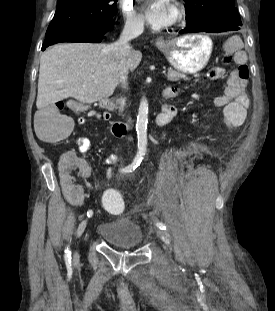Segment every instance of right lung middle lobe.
Returning a JSON list of instances; mask_svg holds the SVG:
<instances>
[{"label": "right lung middle lobe", "mask_w": 275, "mask_h": 311, "mask_svg": "<svg viewBox=\"0 0 275 311\" xmlns=\"http://www.w3.org/2000/svg\"><path fill=\"white\" fill-rule=\"evenodd\" d=\"M116 3L117 0H58L45 38L76 27L107 23L116 16Z\"/></svg>", "instance_id": "right-lung-middle-lobe-1"}]
</instances>
